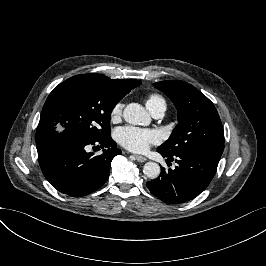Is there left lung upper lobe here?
<instances>
[{"instance_id":"obj_1","label":"left lung upper lobe","mask_w":266,"mask_h":266,"mask_svg":"<svg viewBox=\"0 0 266 266\" xmlns=\"http://www.w3.org/2000/svg\"><path fill=\"white\" fill-rule=\"evenodd\" d=\"M155 88L165 93L178 110V124L170 138L158 147L168 155L198 150L221 157L224 133L213 103L184 81H162Z\"/></svg>"}]
</instances>
